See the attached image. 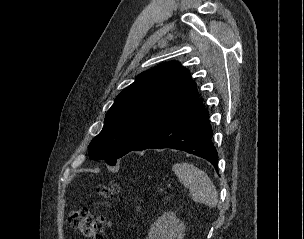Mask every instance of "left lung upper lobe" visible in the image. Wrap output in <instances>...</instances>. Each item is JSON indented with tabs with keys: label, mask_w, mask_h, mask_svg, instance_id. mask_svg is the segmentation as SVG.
I'll list each match as a JSON object with an SVG mask.
<instances>
[{
	"label": "left lung upper lobe",
	"mask_w": 304,
	"mask_h": 239,
	"mask_svg": "<svg viewBox=\"0 0 304 239\" xmlns=\"http://www.w3.org/2000/svg\"><path fill=\"white\" fill-rule=\"evenodd\" d=\"M198 98L189 71L177 61L139 74L107 112L102 131L88 147L90 158L115 165L118 158Z\"/></svg>",
	"instance_id": "left-lung-upper-lobe-1"
}]
</instances>
